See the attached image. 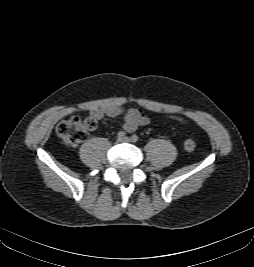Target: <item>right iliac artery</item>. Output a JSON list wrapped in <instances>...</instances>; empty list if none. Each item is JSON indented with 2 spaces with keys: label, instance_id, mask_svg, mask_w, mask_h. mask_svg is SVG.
<instances>
[{
  "label": "right iliac artery",
  "instance_id": "obj_1",
  "mask_svg": "<svg viewBox=\"0 0 254 267\" xmlns=\"http://www.w3.org/2000/svg\"><path fill=\"white\" fill-rule=\"evenodd\" d=\"M125 137V132H123V131H119L118 133H117V138L118 139H122V138H124Z\"/></svg>",
  "mask_w": 254,
  "mask_h": 267
}]
</instances>
